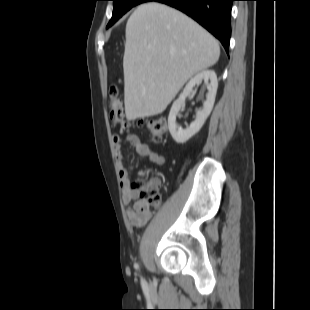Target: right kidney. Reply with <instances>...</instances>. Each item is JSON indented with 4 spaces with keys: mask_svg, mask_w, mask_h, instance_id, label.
<instances>
[{
    "mask_svg": "<svg viewBox=\"0 0 310 310\" xmlns=\"http://www.w3.org/2000/svg\"><path fill=\"white\" fill-rule=\"evenodd\" d=\"M202 80L205 82L210 81V84L207 86L208 94L206 97V101L203 104V108L196 113V119L185 129L178 126L176 123V116L179 113L181 107L185 105L186 98L193 91V88L198 85ZM218 81L216 73L213 70H203L197 73L190 81L186 84L182 94L179 98L174 101L170 113L168 116V127L169 132L172 138L179 144H183L187 142L192 136L200 131L202 126L204 125L206 119L210 115L214 102L215 96L217 92Z\"/></svg>",
    "mask_w": 310,
    "mask_h": 310,
    "instance_id": "ca27d5eb",
    "label": "right kidney"
}]
</instances>
